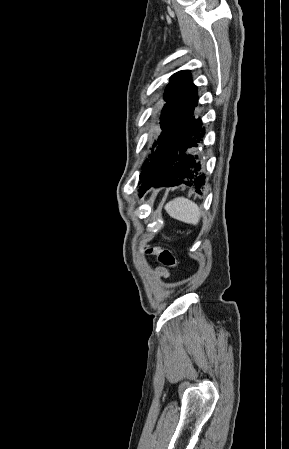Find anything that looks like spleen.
<instances>
[{
  "label": "spleen",
  "instance_id": "spleen-1",
  "mask_svg": "<svg viewBox=\"0 0 289 449\" xmlns=\"http://www.w3.org/2000/svg\"><path fill=\"white\" fill-rule=\"evenodd\" d=\"M164 208L170 217L181 222L196 225L200 220V208L187 198H175L168 202Z\"/></svg>",
  "mask_w": 289,
  "mask_h": 449
}]
</instances>
